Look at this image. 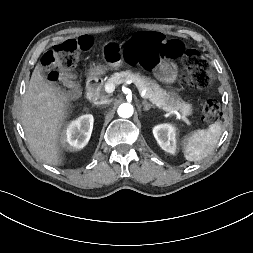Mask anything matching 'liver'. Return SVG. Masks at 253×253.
Masks as SVG:
<instances>
[{
  "label": "liver",
  "instance_id": "obj_1",
  "mask_svg": "<svg viewBox=\"0 0 253 253\" xmlns=\"http://www.w3.org/2000/svg\"><path fill=\"white\" fill-rule=\"evenodd\" d=\"M67 112L64 97L57 94L36 66L23 97L21 123L31 150L46 164H62L59 135Z\"/></svg>",
  "mask_w": 253,
  "mask_h": 253
}]
</instances>
